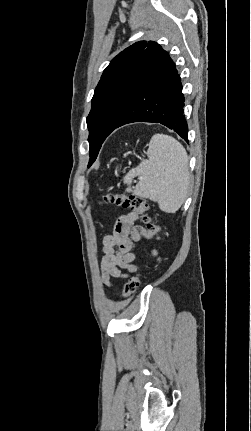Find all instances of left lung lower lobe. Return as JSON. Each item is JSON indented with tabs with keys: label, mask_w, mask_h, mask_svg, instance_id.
<instances>
[{
	"label": "left lung lower lobe",
	"mask_w": 251,
	"mask_h": 431,
	"mask_svg": "<svg viewBox=\"0 0 251 431\" xmlns=\"http://www.w3.org/2000/svg\"><path fill=\"white\" fill-rule=\"evenodd\" d=\"M183 107L180 76L169 54L163 51L115 129L133 122L160 123L188 142Z\"/></svg>",
	"instance_id": "1"
}]
</instances>
